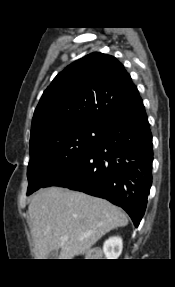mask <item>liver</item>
<instances>
[{
    "label": "liver",
    "instance_id": "liver-1",
    "mask_svg": "<svg viewBox=\"0 0 175 287\" xmlns=\"http://www.w3.org/2000/svg\"><path fill=\"white\" fill-rule=\"evenodd\" d=\"M28 212L37 259H49L59 249L58 259H73L110 230L128 224L125 213L110 202L59 187L39 190Z\"/></svg>",
    "mask_w": 175,
    "mask_h": 287
}]
</instances>
